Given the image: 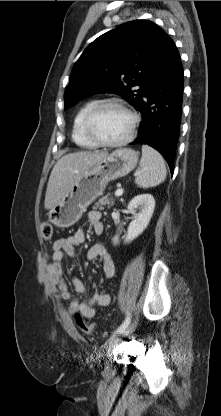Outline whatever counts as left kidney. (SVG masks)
<instances>
[{
	"label": "left kidney",
	"mask_w": 221,
	"mask_h": 416,
	"mask_svg": "<svg viewBox=\"0 0 221 416\" xmlns=\"http://www.w3.org/2000/svg\"><path fill=\"white\" fill-rule=\"evenodd\" d=\"M155 208V200L151 194H142L134 197L128 204V210L133 214V220L129 224L125 243H129L137 238L148 226ZM137 209L139 212L137 213ZM117 236L113 238V243L117 244Z\"/></svg>",
	"instance_id": "1"
}]
</instances>
